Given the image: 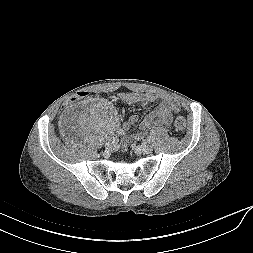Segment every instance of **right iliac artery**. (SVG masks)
Instances as JSON below:
<instances>
[{
    "label": "right iliac artery",
    "instance_id": "obj_1",
    "mask_svg": "<svg viewBox=\"0 0 253 253\" xmlns=\"http://www.w3.org/2000/svg\"><path fill=\"white\" fill-rule=\"evenodd\" d=\"M116 133H117L118 135H124V134H125V132H124L123 129H117Z\"/></svg>",
    "mask_w": 253,
    "mask_h": 253
}]
</instances>
